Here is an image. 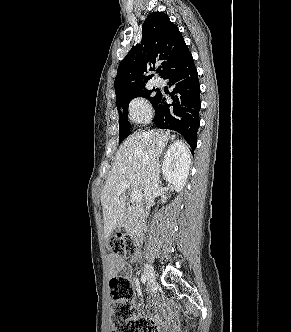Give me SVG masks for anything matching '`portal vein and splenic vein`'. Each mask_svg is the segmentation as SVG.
I'll return each instance as SVG.
<instances>
[{
    "label": "portal vein and splenic vein",
    "instance_id": "portal-vein-and-splenic-vein-1",
    "mask_svg": "<svg viewBox=\"0 0 291 332\" xmlns=\"http://www.w3.org/2000/svg\"><path fill=\"white\" fill-rule=\"evenodd\" d=\"M130 187L129 183L128 182H123L120 186V190L121 191H124L126 189H128ZM142 193L139 192V191H133L131 193V200L132 202H139L142 200Z\"/></svg>",
    "mask_w": 291,
    "mask_h": 332
}]
</instances>
